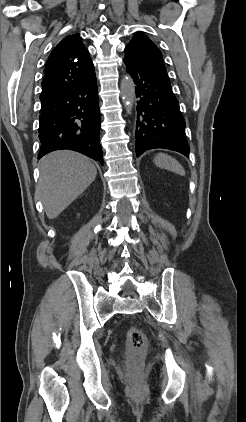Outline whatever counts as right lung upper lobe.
<instances>
[{"label":"right lung upper lobe","instance_id":"obj_1","mask_svg":"<svg viewBox=\"0 0 246 422\" xmlns=\"http://www.w3.org/2000/svg\"><path fill=\"white\" fill-rule=\"evenodd\" d=\"M44 73L41 102L84 84L95 76L93 62L78 33L65 37L52 50Z\"/></svg>","mask_w":246,"mask_h":422}]
</instances>
